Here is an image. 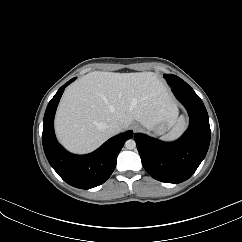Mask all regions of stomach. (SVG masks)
Listing matches in <instances>:
<instances>
[{"mask_svg": "<svg viewBox=\"0 0 242 242\" xmlns=\"http://www.w3.org/2000/svg\"><path fill=\"white\" fill-rule=\"evenodd\" d=\"M175 121H171L169 119L163 120L157 124H155L152 128V130L157 134V135H161L164 132H166L174 123Z\"/></svg>", "mask_w": 242, "mask_h": 242, "instance_id": "0dacf381", "label": "stomach"}]
</instances>
